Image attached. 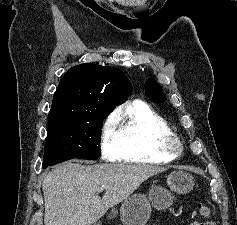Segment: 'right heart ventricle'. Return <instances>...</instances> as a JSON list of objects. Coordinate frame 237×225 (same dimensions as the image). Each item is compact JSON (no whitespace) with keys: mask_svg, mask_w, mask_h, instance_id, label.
Returning <instances> with one entry per match:
<instances>
[{"mask_svg":"<svg viewBox=\"0 0 237 225\" xmlns=\"http://www.w3.org/2000/svg\"><path fill=\"white\" fill-rule=\"evenodd\" d=\"M119 148L115 161L160 164L176 156L161 148V140L172 134L167 121L141 100L132 102L117 118Z\"/></svg>","mask_w":237,"mask_h":225,"instance_id":"right-heart-ventricle-1","label":"right heart ventricle"}]
</instances>
